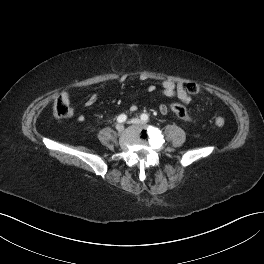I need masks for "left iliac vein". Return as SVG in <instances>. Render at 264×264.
<instances>
[{
	"label": "left iliac vein",
	"mask_w": 264,
	"mask_h": 264,
	"mask_svg": "<svg viewBox=\"0 0 264 264\" xmlns=\"http://www.w3.org/2000/svg\"><path fill=\"white\" fill-rule=\"evenodd\" d=\"M129 122L132 124H144V122L138 118H133Z\"/></svg>",
	"instance_id": "left-iliac-vein-1"
}]
</instances>
